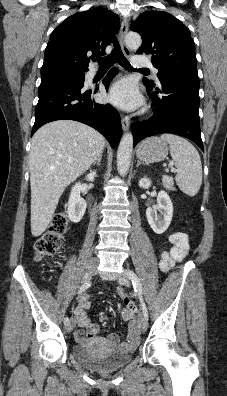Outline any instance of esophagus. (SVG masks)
<instances>
[{"mask_svg": "<svg viewBox=\"0 0 227 396\" xmlns=\"http://www.w3.org/2000/svg\"><path fill=\"white\" fill-rule=\"evenodd\" d=\"M127 31H128V19H127V17H124L122 20V23H121L119 42H120L121 48L123 50V53L127 57H130L131 51L125 43V36H126ZM121 124H122V128L124 131L128 130L130 127V118L128 116L122 115L121 116Z\"/></svg>", "mask_w": 227, "mask_h": 396, "instance_id": "1", "label": "esophagus"}]
</instances>
